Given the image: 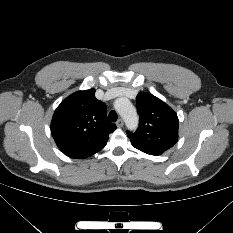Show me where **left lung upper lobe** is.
Listing matches in <instances>:
<instances>
[{
	"mask_svg": "<svg viewBox=\"0 0 233 233\" xmlns=\"http://www.w3.org/2000/svg\"><path fill=\"white\" fill-rule=\"evenodd\" d=\"M140 123L138 129L127 135L138 150L160 155L178 140L177 114L152 94L140 92L136 97Z\"/></svg>",
	"mask_w": 233,
	"mask_h": 233,
	"instance_id": "obj_1",
	"label": "left lung upper lobe"
}]
</instances>
